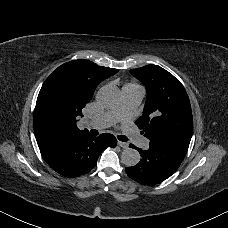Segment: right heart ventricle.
<instances>
[{"mask_svg":"<svg viewBox=\"0 0 228 228\" xmlns=\"http://www.w3.org/2000/svg\"><path fill=\"white\" fill-rule=\"evenodd\" d=\"M111 85L114 86L118 91V96L122 93H125L132 85V83H126L121 85L119 78H113Z\"/></svg>","mask_w":228,"mask_h":228,"instance_id":"obj_1","label":"right heart ventricle"}]
</instances>
